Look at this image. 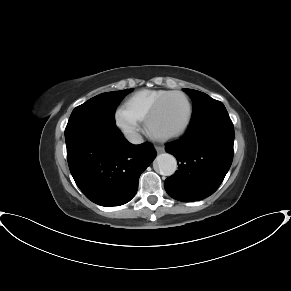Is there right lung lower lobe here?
I'll use <instances>...</instances> for the list:
<instances>
[{
  "instance_id": "98d812e1",
  "label": "right lung lower lobe",
  "mask_w": 291,
  "mask_h": 291,
  "mask_svg": "<svg viewBox=\"0 0 291 291\" xmlns=\"http://www.w3.org/2000/svg\"><path fill=\"white\" fill-rule=\"evenodd\" d=\"M67 160L75 183L92 202L119 206L138 190L140 175L155 159L149 143H129L115 123L73 119L65 129Z\"/></svg>"
}]
</instances>
